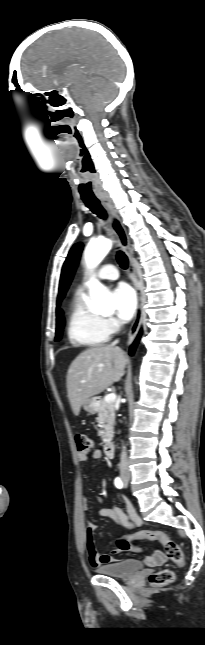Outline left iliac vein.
Returning <instances> with one entry per match:
<instances>
[{
    "label": "left iliac vein",
    "instance_id": "4c4485c4",
    "mask_svg": "<svg viewBox=\"0 0 205 645\" xmlns=\"http://www.w3.org/2000/svg\"><path fill=\"white\" fill-rule=\"evenodd\" d=\"M127 485H128V482H127V481H125V482H124V486H125V487H127Z\"/></svg>",
    "mask_w": 205,
    "mask_h": 645
}]
</instances>
